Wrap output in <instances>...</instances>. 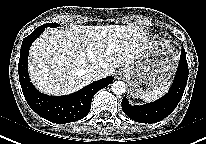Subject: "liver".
I'll use <instances>...</instances> for the list:
<instances>
[{
    "label": "liver",
    "instance_id": "liver-1",
    "mask_svg": "<svg viewBox=\"0 0 206 144\" xmlns=\"http://www.w3.org/2000/svg\"><path fill=\"white\" fill-rule=\"evenodd\" d=\"M148 47V37L134 25H71L45 31L29 52L28 70L35 87L47 95H66L90 84L86 70L102 69L106 77L127 67Z\"/></svg>",
    "mask_w": 206,
    "mask_h": 144
}]
</instances>
